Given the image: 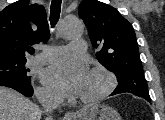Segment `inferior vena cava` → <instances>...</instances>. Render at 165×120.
I'll return each instance as SVG.
<instances>
[{"mask_svg":"<svg viewBox=\"0 0 165 120\" xmlns=\"http://www.w3.org/2000/svg\"><path fill=\"white\" fill-rule=\"evenodd\" d=\"M36 96L41 103L44 112L48 114H51L62 102L60 96L48 92H38ZM46 120H52L51 116H48Z\"/></svg>","mask_w":165,"mask_h":120,"instance_id":"602c4592","label":"inferior vena cava"}]
</instances>
